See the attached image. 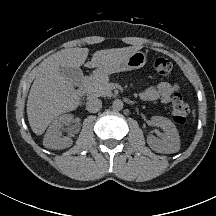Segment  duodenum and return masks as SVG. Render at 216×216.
<instances>
[{
	"label": "duodenum",
	"mask_w": 216,
	"mask_h": 216,
	"mask_svg": "<svg viewBox=\"0 0 216 216\" xmlns=\"http://www.w3.org/2000/svg\"><path fill=\"white\" fill-rule=\"evenodd\" d=\"M91 81V76L85 78L83 84L77 90V97L82 100L87 93L88 84Z\"/></svg>",
	"instance_id": "duodenum-1"
}]
</instances>
